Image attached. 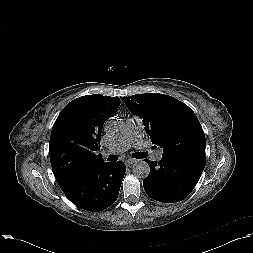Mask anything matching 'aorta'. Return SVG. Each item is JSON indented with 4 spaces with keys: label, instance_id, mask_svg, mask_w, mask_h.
<instances>
[{
    "label": "aorta",
    "instance_id": "aorta-1",
    "mask_svg": "<svg viewBox=\"0 0 253 253\" xmlns=\"http://www.w3.org/2000/svg\"><path fill=\"white\" fill-rule=\"evenodd\" d=\"M124 127L122 121L109 120L105 123L104 131L111 136H117L123 132ZM132 172L135 177L144 179L149 175L150 167L146 161L139 159L133 164Z\"/></svg>",
    "mask_w": 253,
    "mask_h": 253
}]
</instances>
